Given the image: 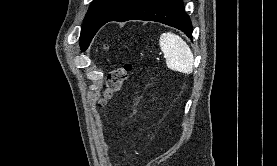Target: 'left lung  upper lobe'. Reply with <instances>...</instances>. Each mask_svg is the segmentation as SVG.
Here are the masks:
<instances>
[{
    "instance_id": "left-lung-upper-lobe-1",
    "label": "left lung upper lobe",
    "mask_w": 277,
    "mask_h": 166,
    "mask_svg": "<svg viewBox=\"0 0 277 166\" xmlns=\"http://www.w3.org/2000/svg\"><path fill=\"white\" fill-rule=\"evenodd\" d=\"M134 0H94L81 27L80 46L86 50L97 31Z\"/></svg>"
}]
</instances>
